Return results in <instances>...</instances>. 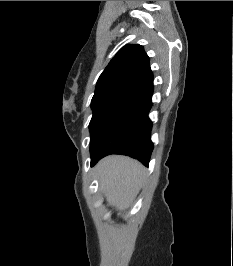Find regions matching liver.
<instances>
[{
  "label": "liver",
  "mask_w": 233,
  "mask_h": 266,
  "mask_svg": "<svg viewBox=\"0 0 233 266\" xmlns=\"http://www.w3.org/2000/svg\"><path fill=\"white\" fill-rule=\"evenodd\" d=\"M96 171L107 202L120 211L129 208L145 179V169L138 161L120 155L105 157Z\"/></svg>",
  "instance_id": "liver-1"
}]
</instances>
